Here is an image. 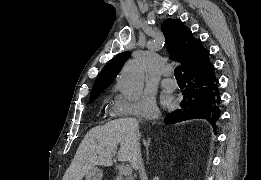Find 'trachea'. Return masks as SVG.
<instances>
[{
  "mask_svg": "<svg viewBox=\"0 0 261 180\" xmlns=\"http://www.w3.org/2000/svg\"><path fill=\"white\" fill-rule=\"evenodd\" d=\"M174 73H175L176 79H183V75H182L180 66L175 68Z\"/></svg>",
  "mask_w": 261,
  "mask_h": 180,
  "instance_id": "3493384b",
  "label": "trachea"
}]
</instances>
